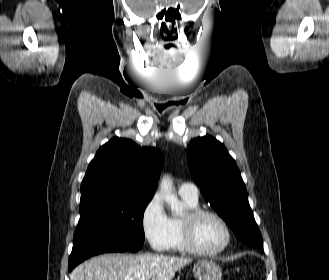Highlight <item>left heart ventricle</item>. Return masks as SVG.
Here are the masks:
<instances>
[{"label":"left heart ventricle","instance_id":"1","mask_svg":"<svg viewBox=\"0 0 329 280\" xmlns=\"http://www.w3.org/2000/svg\"><path fill=\"white\" fill-rule=\"evenodd\" d=\"M225 231L213 217L203 216L195 225V239L199 247L207 251L218 249L225 242Z\"/></svg>","mask_w":329,"mask_h":280}]
</instances>
